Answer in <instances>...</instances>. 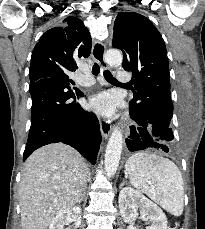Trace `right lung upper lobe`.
<instances>
[{
	"mask_svg": "<svg viewBox=\"0 0 205 229\" xmlns=\"http://www.w3.org/2000/svg\"><path fill=\"white\" fill-rule=\"evenodd\" d=\"M62 27L46 31L34 47L29 70L30 84L77 69V60L91 53V36L84 23L70 16ZM68 76V75H67Z\"/></svg>",
	"mask_w": 205,
	"mask_h": 229,
	"instance_id": "obj_1",
	"label": "right lung upper lobe"
}]
</instances>
